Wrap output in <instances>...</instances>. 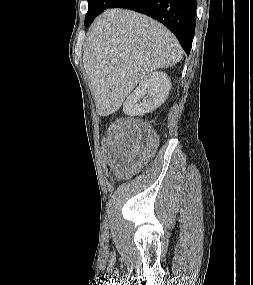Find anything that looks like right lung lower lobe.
I'll use <instances>...</instances> for the list:
<instances>
[{"instance_id":"98d812e1","label":"right lung lower lobe","mask_w":253,"mask_h":285,"mask_svg":"<svg viewBox=\"0 0 253 285\" xmlns=\"http://www.w3.org/2000/svg\"><path fill=\"white\" fill-rule=\"evenodd\" d=\"M108 8L131 9L158 20L189 55L196 25V0H114Z\"/></svg>"}]
</instances>
